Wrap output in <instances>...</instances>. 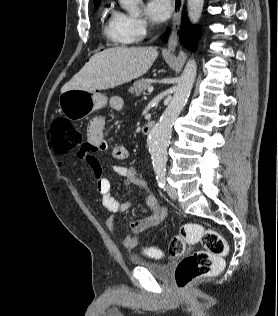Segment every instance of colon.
<instances>
[{"label":"colon","instance_id":"1","mask_svg":"<svg viewBox=\"0 0 278 316\" xmlns=\"http://www.w3.org/2000/svg\"><path fill=\"white\" fill-rule=\"evenodd\" d=\"M81 130L66 119L58 118L51 126V142L58 154L70 152L83 143ZM201 242L203 250L195 251L178 263L175 270V283L178 288L186 289L194 280L217 273L222 270L224 256L227 254V244L221 234L212 228L198 223L183 225L177 235L169 243V253L178 257L185 253L186 246ZM151 257H161L162 252L156 249H146Z\"/></svg>","mask_w":278,"mask_h":316}]
</instances>
